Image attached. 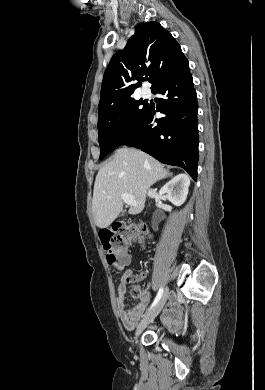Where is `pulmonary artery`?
Instances as JSON below:
<instances>
[{"label": "pulmonary artery", "mask_w": 265, "mask_h": 390, "mask_svg": "<svg viewBox=\"0 0 265 390\" xmlns=\"http://www.w3.org/2000/svg\"><path fill=\"white\" fill-rule=\"evenodd\" d=\"M148 95H149V91L146 90V89H143V90H142V96H143V97H147Z\"/></svg>", "instance_id": "1"}]
</instances>
